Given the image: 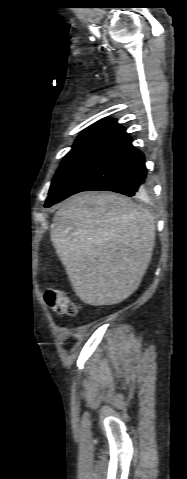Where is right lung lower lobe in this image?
Listing matches in <instances>:
<instances>
[{
	"label": "right lung lower lobe",
	"mask_w": 187,
	"mask_h": 479,
	"mask_svg": "<svg viewBox=\"0 0 187 479\" xmlns=\"http://www.w3.org/2000/svg\"><path fill=\"white\" fill-rule=\"evenodd\" d=\"M88 190H108L127 196L147 198L151 185L143 153L133 147L127 136L121 143L77 176L48 207Z\"/></svg>",
	"instance_id": "obj_1"
}]
</instances>
